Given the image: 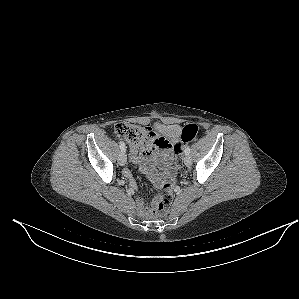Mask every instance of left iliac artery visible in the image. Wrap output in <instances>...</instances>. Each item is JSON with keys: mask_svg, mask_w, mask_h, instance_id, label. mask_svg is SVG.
Here are the masks:
<instances>
[{"mask_svg": "<svg viewBox=\"0 0 299 299\" xmlns=\"http://www.w3.org/2000/svg\"><path fill=\"white\" fill-rule=\"evenodd\" d=\"M189 153H190V146H187V147L185 148V154H186V155H189Z\"/></svg>", "mask_w": 299, "mask_h": 299, "instance_id": "1", "label": "left iliac artery"}]
</instances>
